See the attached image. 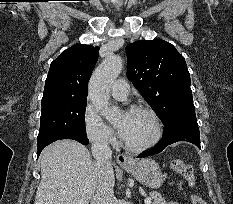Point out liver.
Segmentation results:
<instances>
[{"label":"liver","mask_w":233,"mask_h":204,"mask_svg":"<svg viewBox=\"0 0 233 204\" xmlns=\"http://www.w3.org/2000/svg\"><path fill=\"white\" fill-rule=\"evenodd\" d=\"M39 160L41 181L34 204H89L101 170L84 145L59 140L47 146ZM111 174L114 179L112 166Z\"/></svg>","instance_id":"liver-1"}]
</instances>
